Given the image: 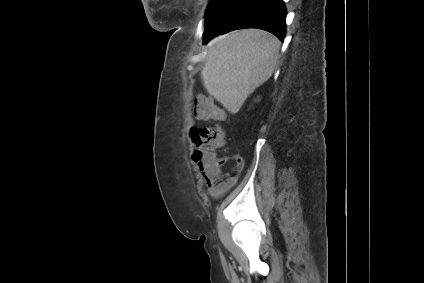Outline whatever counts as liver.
I'll return each instance as SVG.
<instances>
[{"label": "liver", "mask_w": 424, "mask_h": 283, "mask_svg": "<svg viewBox=\"0 0 424 283\" xmlns=\"http://www.w3.org/2000/svg\"><path fill=\"white\" fill-rule=\"evenodd\" d=\"M280 41L256 28L232 31L207 46L201 78L207 92L230 113L267 81L275 69Z\"/></svg>", "instance_id": "obj_1"}]
</instances>
